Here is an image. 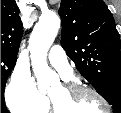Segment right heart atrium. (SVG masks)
<instances>
[{"label":"right heart atrium","mask_w":121,"mask_h":113,"mask_svg":"<svg viewBox=\"0 0 121 113\" xmlns=\"http://www.w3.org/2000/svg\"><path fill=\"white\" fill-rule=\"evenodd\" d=\"M5 99L9 109L15 113H39L46 101L31 75L20 67L12 72L6 86Z\"/></svg>","instance_id":"d8ad5b80"}]
</instances>
